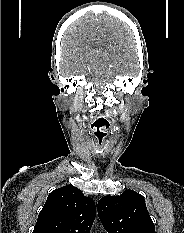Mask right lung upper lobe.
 Here are the masks:
<instances>
[{
  "label": "right lung upper lobe",
  "mask_w": 184,
  "mask_h": 233,
  "mask_svg": "<svg viewBox=\"0 0 184 233\" xmlns=\"http://www.w3.org/2000/svg\"><path fill=\"white\" fill-rule=\"evenodd\" d=\"M95 214L94 201L67 185L48 195L33 233H89Z\"/></svg>",
  "instance_id": "right-lung-upper-lobe-1"
}]
</instances>
